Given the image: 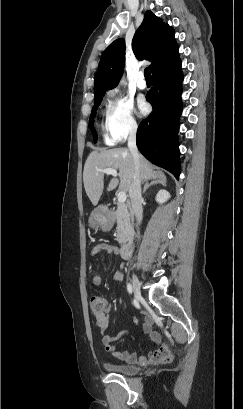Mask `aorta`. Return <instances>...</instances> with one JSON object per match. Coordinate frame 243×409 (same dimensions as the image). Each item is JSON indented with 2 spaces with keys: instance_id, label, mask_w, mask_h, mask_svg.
Returning a JSON list of instances; mask_svg holds the SVG:
<instances>
[{
  "instance_id": "aorta-1",
  "label": "aorta",
  "mask_w": 243,
  "mask_h": 409,
  "mask_svg": "<svg viewBox=\"0 0 243 409\" xmlns=\"http://www.w3.org/2000/svg\"><path fill=\"white\" fill-rule=\"evenodd\" d=\"M121 84H125V81H124V79H122V80H121Z\"/></svg>"
}]
</instances>
